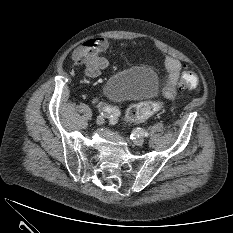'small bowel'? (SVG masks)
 <instances>
[{
  "label": "small bowel",
  "mask_w": 233,
  "mask_h": 233,
  "mask_svg": "<svg viewBox=\"0 0 233 233\" xmlns=\"http://www.w3.org/2000/svg\"><path fill=\"white\" fill-rule=\"evenodd\" d=\"M87 43H94L100 52L107 50L110 46V42L106 38H97L88 41ZM85 46L76 49L73 53V61L75 63L84 59ZM161 60L164 62V66L168 73L167 83L163 89V94L167 99L175 98L177 94V86L181 79V63L174 57L161 56ZM108 66V60L105 57L98 56L92 60H87L86 75L91 78L98 77L102 70Z\"/></svg>",
  "instance_id": "small-bowel-1"
}]
</instances>
